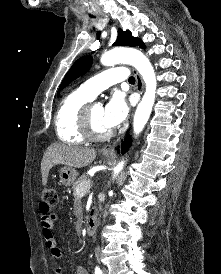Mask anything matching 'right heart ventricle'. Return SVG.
I'll list each match as a JSON object with an SVG mask.
<instances>
[{"label":"right heart ventricle","instance_id":"1","mask_svg":"<svg viewBox=\"0 0 221 274\" xmlns=\"http://www.w3.org/2000/svg\"><path fill=\"white\" fill-rule=\"evenodd\" d=\"M92 100L93 97L81 88L62 99L55 115V131L59 140L74 145L85 142L86 137L80 127V116L84 106Z\"/></svg>","mask_w":221,"mask_h":274}]
</instances>
